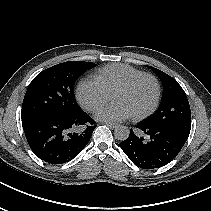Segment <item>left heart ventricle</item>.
<instances>
[{
    "label": "left heart ventricle",
    "instance_id": "obj_1",
    "mask_svg": "<svg viewBox=\"0 0 211 211\" xmlns=\"http://www.w3.org/2000/svg\"><path fill=\"white\" fill-rule=\"evenodd\" d=\"M155 85L150 79H142L130 89L112 95V102L125 105L132 114L148 109L155 99Z\"/></svg>",
    "mask_w": 211,
    "mask_h": 211
}]
</instances>
